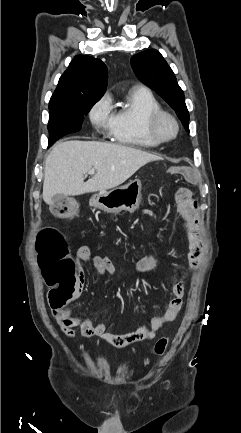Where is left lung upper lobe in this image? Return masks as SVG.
I'll return each mask as SVG.
<instances>
[{"label":"left lung upper lobe","mask_w":241,"mask_h":433,"mask_svg":"<svg viewBox=\"0 0 241 433\" xmlns=\"http://www.w3.org/2000/svg\"><path fill=\"white\" fill-rule=\"evenodd\" d=\"M131 66L136 76L175 110L189 132V113L184 93L162 55L155 49L143 51L131 58Z\"/></svg>","instance_id":"obj_1"}]
</instances>
